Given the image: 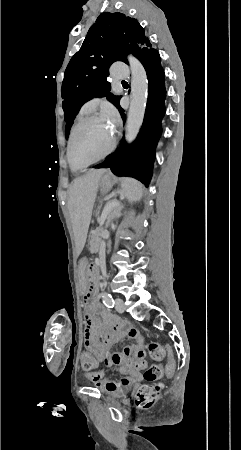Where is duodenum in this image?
<instances>
[{
	"label": "duodenum",
	"instance_id": "410a0bca",
	"mask_svg": "<svg viewBox=\"0 0 241 450\" xmlns=\"http://www.w3.org/2000/svg\"><path fill=\"white\" fill-rule=\"evenodd\" d=\"M98 287V275L96 267L93 266L90 271L89 291L95 293Z\"/></svg>",
	"mask_w": 241,
	"mask_h": 450
}]
</instances>
